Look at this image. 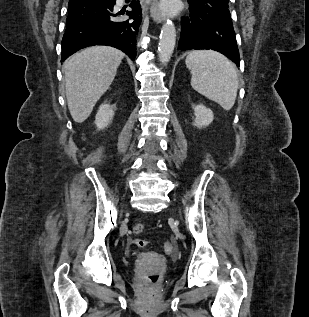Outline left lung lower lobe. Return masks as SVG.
<instances>
[{
    "mask_svg": "<svg viewBox=\"0 0 309 317\" xmlns=\"http://www.w3.org/2000/svg\"><path fill=\"white\" fill-rule=\"evenodd\" d=\"M189 17L181 20L178 49H212L218 51L237 66L240 56L231 19L189 8Z\"/></svg>",
    "mask_w": 309,
    "mask_h": 317,
    "instance_id": "left-lung-lower-lobe-1",
    "label": "left lung lower lobe"
}]
</instances>
